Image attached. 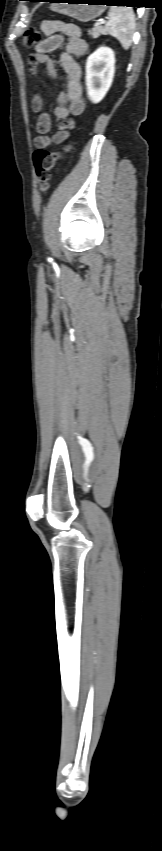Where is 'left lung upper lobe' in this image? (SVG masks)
<instances>
[{"label": "left lung upper lobe", "instance_id": "left-lung-upper-lobe-1", "mask_svg": "<svg viewBox=\"0 0 162 851\" xmlns=\"http://www.w3.org/2000/svg\"><path fill=\"white\" fill-rule=\"evenodd\" d=\"M28 1H36V0H28Z\"/></svg>", "mask_w": 162, "mask_h": 851}]
</instances>
